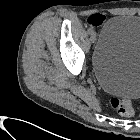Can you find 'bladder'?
I'll return each mask as SVG.
<instances>
[{"label":"bladder","mask_w":140,"mask_h":140,"mask_svg":"<svg viewBox=\"0 0 140 140\" xmlns=\"http://www.w3.org/2000/svg\"><path fill=\"white\" fill-rule=\"evenodd\" d=\"M92 70L108 93L140 97V15H116L102 27L92 53Z\"/></svg>","instance_id":"31cf9c89"}]
</instances>
